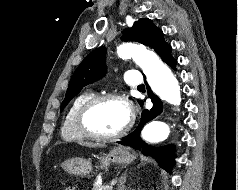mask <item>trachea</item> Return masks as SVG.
Returning a JSON list of instances; mask_svg holds the SVG:
<instances>
[{
	"instance_id": "obj_1",
	"label": "trachea",
	"mask_w": 238,
	"mask_h": 190,
	"mask_svg": "<svg viewBox=\"0 0 238 190\" xmlns=\"http://www.w3.org/2000/svg\"><path fill=\"white\" fill-rule=\"evenodd\" d=\"M138 88H145V86L144 85H140V86H138Z\"/></svg>"
}]
</instances>
